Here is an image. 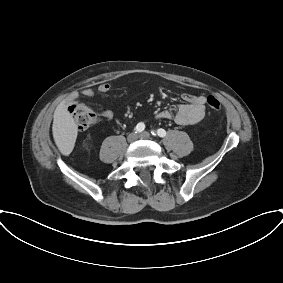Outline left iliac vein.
<instances>
[{
    "label": "left iliac vein",
    "instance_id": "4c4485c4",
    "mask_svg": "<svg viewBox=\"0 0 283 283\" xmlns=\"http://www.w3.org/2000/svg\"><path fill=\"white\" fill-rule=\"evenodd\" d=\"M139 137L141 139H149L150 138V133L147 132V131H144V132L140 133Z\"/></svg>",
    "mask_w": 283,
    "mask_h": 283
}]
</instances>
